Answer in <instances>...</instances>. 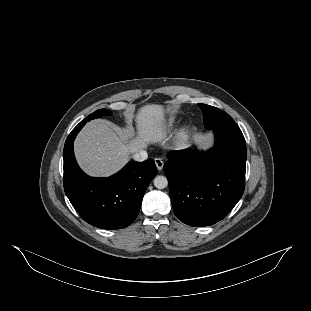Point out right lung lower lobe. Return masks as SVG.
Returning a JSON list of instances; mask_svg holds the SVG:
<instances>
[{
	"label": "right lung lower lobe",
	"mask_w": 311,
	"mask_h": 311,
	"mask_svg": "<svg viewBox=\"0 0 311 311\" xmlns=\"http://www.w3.org/2000/svg\"><path fill=\"white\" fill-rule=\"evenodd\" d=\"M85 125L80 122L64 146V190L77 213L89 224L102 229H120L137 217L144 193L155 177L154 160L129 162L109 178L86 175L78 166L73 142Z\"/></svg>",
	"instance_id": "right-lung-lower-lobe-1"
}]
</instances>
